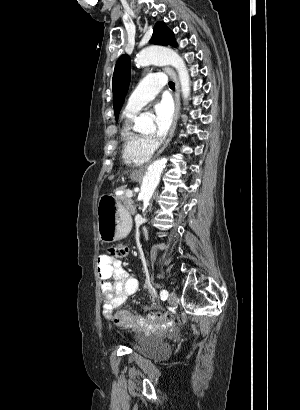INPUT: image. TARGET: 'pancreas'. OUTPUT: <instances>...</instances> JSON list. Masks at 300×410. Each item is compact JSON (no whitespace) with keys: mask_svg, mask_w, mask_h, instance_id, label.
Wrapping results in <instances>:
<instances>
[{"mask_svg":"<svg viewBox=\"0 0 300 410\" xmlns=\"http://www.w3.org/2000/svg\"><path fill=\"white\" fill-rule=\"evenodd\" d=\"M118 200L123 203L124 207L132 214L136 213V207L133 204V200L126 195V192L118 196Z\"/></svg>","mask_w":300,"mask_h":410,"instance_id":"pancreas-1","label":"pancreas"}]
</instances>
